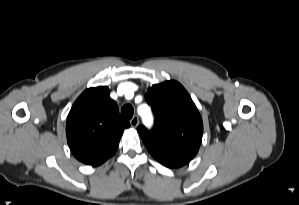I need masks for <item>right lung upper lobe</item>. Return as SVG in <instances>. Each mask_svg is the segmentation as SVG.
I'll list each match as a JSON object with an SVG mask.
<instances>
[{
  "instance_id": "obj_1",
  "label": "right lung upper lobe",
  "mask_w": 299,
  "mask_h": 205,
  "mask_svg": "<svg viewBox=\"0 0 299 205\" xmlns=\"http://www.w3.org/2000/svg\"><path fill=\"white\" fill-rule=\"evenodd\" d=\"M110 90L100 86L85 90L73 104L66 123L68 145L81 162L99 166L117 150L128 121L120 118Z\"/></svg>"
}]
</instances>
